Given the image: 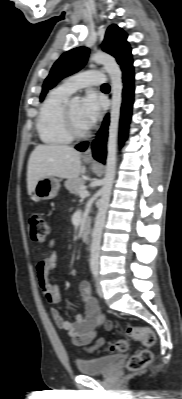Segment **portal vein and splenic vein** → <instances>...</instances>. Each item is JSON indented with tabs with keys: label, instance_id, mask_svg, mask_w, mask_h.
Instances as JSON below:
<instances>
[{
	"label": "portal vein and splenic vein",
	"instance_id": "obj_1",
	"mask_svg": "<svg viewBox=\"0 0 182 399\" xmlns=\"http://www.w3.org/2000/svg\"><path fill=\"white\" fill-rule=\"evenodd\" d=\"M88 195H89V192H88L86 189H83V190L80 192V197H81L82 199L86 198Z\"/></svg>",
	"mask_w": 182,
	"mask_h": 399
}]
</instances>
